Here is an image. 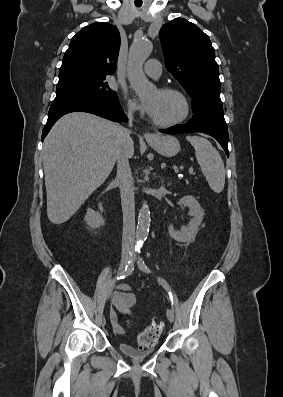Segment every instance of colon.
<instances>
[{"label": "colon", "mask_w": 283, "mask_h": 397, "mask_svg": "<svg viewBox=\"0 0 283 397\" xmlns=\"http://www.w3.org/2000/svg\"><path fill=\"white\" fill-rule=\"evenodd\" d=\"M163 329L161 323H152L146 327L138 336V345L140 347H149L153 345L160 336Z\"/></svg>", "instance_id": "1"}]
</instances>
